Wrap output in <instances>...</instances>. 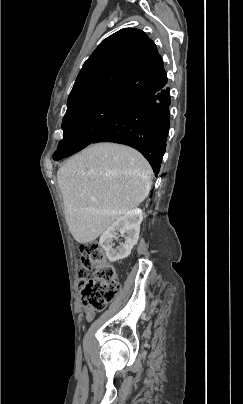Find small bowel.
<instances>
[{"label": "small bowel", "instance_id": "c3829d8e", "mask_svg": "<svg viewBox=\"0 0 243 404\" xmlns=\"http://www.w3.org/2000/svg\"><path fill=\"white\" fill-rule=\"evenodd\" d=\"M85 316L87 320H91L94 317V313L91 310H87Z\"/></svg>", "mask_w": 243, "mask_h": 404}]
</instances>
